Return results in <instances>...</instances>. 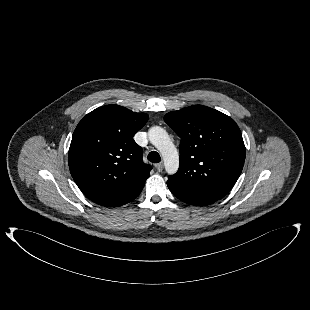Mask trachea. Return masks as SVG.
<instances>
[{
    "label": "trachea",
    "mask_w": 310,
    "mask_h": 310,
    "mask_svg": "<svg viewBox=\"0 0 310 310\" xmlns=\"http://www.w3.org/2000/svg\"><path fill=\"white\" fill-rule=\"evenodd\" d=\"M147 158L152 163H159L161 161L160 155L156 151H151Z\"/></svg>",
    "instance_id": "1"
}]
</instances>
